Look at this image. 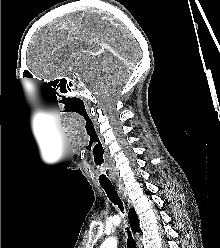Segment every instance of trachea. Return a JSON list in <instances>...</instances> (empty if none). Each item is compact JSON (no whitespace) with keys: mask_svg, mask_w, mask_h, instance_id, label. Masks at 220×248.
Masks as SVG:
<instances>
[{"mask_svg":"<svg viewBox=\"0 0 220 248\" xmlns=\"http://www.w3.org/2000/svg\"><path fill=\"white\" fill-rule=\"evenodd\" d=\"M100 185L105 190L109 200L112 203H114L115 205H118V208H120V210L123 212V209H124L123 203H122L120 197L118 196L114 186L111 183H103ZM127 233H128L127 248H137L136 242L133 239L129 228H127Z\"/></svg>","mask_w":220,"mask_h":248,"instance_id":"obj_1","label":"trachea"}]
</instances>
